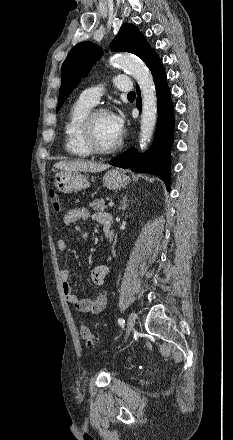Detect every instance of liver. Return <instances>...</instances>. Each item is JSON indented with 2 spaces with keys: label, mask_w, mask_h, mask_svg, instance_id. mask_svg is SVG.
Wrapping results in <instances>:
<instances>
[{
  "label": "liver",
  "mask_w": 233,
  "mask_h": 440,
  "mask_svg": "<svg viewBox=\"0 0 233 440\" xmlns=\"http://www.w3.org/2000/svg\"><path fill=\"white\" fill-rule=\"evenodd\" d=\"M56 169L63 172H101L109 167L107 164L84 160L60 161L54 164Z\"/></svg>",
  "instance_id": "obj_1"
}]
</instances>
